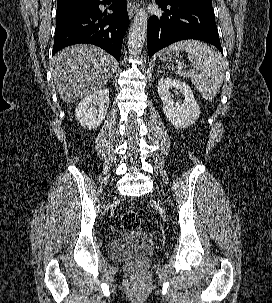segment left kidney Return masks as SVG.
<instances>
[{
	"mask_svg": "<svg viewBox=\"0 0 272 303\" xmlns=\"http://www.w3.org/2000/svg\"><path fill=\"white\" fill-rule=\"evenodd\" d=\"M175 88L183 94L184 101L174 102L170 89ZM158 94L163 102V112L169 122L177 128H186L195 123L200 116V108L193 91L186 83L171 77H162L158 81Z\"/></svg>",
	"mask_w": 272,
	"mask_h": 303,
	"instance_id": "left-kidney-1",
	"label": "left kidney"
}]
</instances>
